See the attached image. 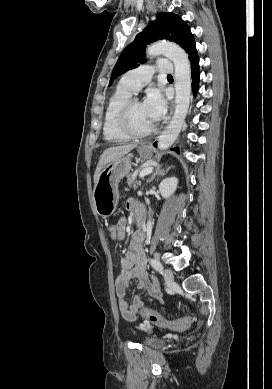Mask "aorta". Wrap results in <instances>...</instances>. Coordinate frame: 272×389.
I'll list each match as a JSON object with an SVG mask.
<instances>
[{"mask_svg":"<svg viewBox=\"0 0 272 389\" xmlns=\"http://www.w3.org/2000/svg\"><path fill=\"white\" fill-rule=\"evenodd\" d=\"M146 53L149 56L164 55L175 67V111L170 123L158 138V148L165 150L176 141L185 122L191 99V67L188 54L174 43H154L147 48Z\"/></svg>","mask_w":272,"mask_h":389,"instance_id":"aorta-1","label":"aorta"}]
</instances>
